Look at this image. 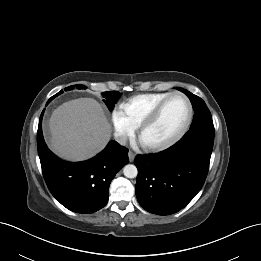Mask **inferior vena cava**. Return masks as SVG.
<instances>
[{
    "label": "inferior vena cava",
    "instance_id": "obj_1",
    "mask_svg": "<svg viewBox=\"0 0 261 261\" xmlns=\"http://www.w3.org/2000/svg\"><path fill=\"white\" fill-rule=\"evenodd\" d=\"M115 140L121 145H125L127 143L128 137L126 134L118 133L115 135Z\"/></svg>",
    "mask_w": 261,
    "mask_h": 261
}]
</instances>
